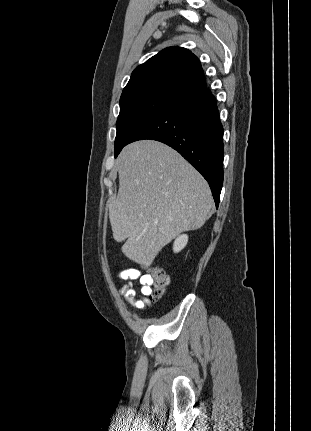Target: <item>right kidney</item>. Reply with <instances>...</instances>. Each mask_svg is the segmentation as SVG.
Segmentation results:
<instances>
[{
	"mask_svg": "<svg viewBox=\"0 0 311 431\" xmlns=\"http://www.w3.org/2000/svg\"><path fill=\"white\" fill-rule=\"evenodd\" d=\"M187 241H188L187 233H182V235H179V237H176L173 243V251H175V253H177V251H181V249L185 247Z\"/></svg>",
	"mask_w": 311,
	"mask_h": 431,
	"instance_id": "1",
	"label": "right kidney"
}]
</instances>
